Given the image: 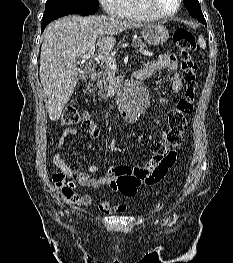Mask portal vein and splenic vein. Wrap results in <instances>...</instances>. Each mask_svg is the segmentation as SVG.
I'll list each match as a JSON object with an SVG mask.
<instances>
[{
	"label": "portal vein and splenic vein",
	"mask_w": 233,
	"mask_h": 263,
	"mask_svg": "<svg viewBox=\"0 0 233 263\" xmlns=\"http://www.w3.org/2000/svg\"><path fill=\"white\" fill-rule=\"evenodd\" d=\"M94 51H95V47L93 46L90 51L86 54H84L82 56V62H85L87 60H89L90 58H94L95 60L97 61H103L105 62L106 64H108L111 68L115 69L116 68V62H115V59L109 55H94ZM142 54L146 55V56H151L153 55L152 53L150 52H147V51H140Z\"/></svg>",
	"instance_id": "obj_1"
}]
</instances>
